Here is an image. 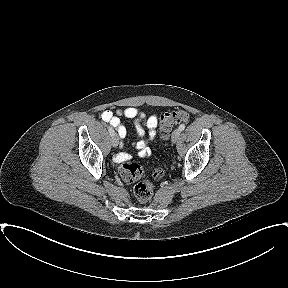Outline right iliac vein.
Returning <instances> with one entry per match:
<instances>
[{"label":"right iliac vein","instance_id":"1","mask_svg":"<svg viewBox=\"0 0 288 288\" xmlns=\"http://www.w3.org/2000/svg\"><path fill=\"white\" fill-rule=\"evenodd\" d=\"M111 144H112L113 147H117L118 146L119 139H118V136L116 134L111 136Z\"/></svg>","mask_w":288,"mask_h":288}]
</instances>
